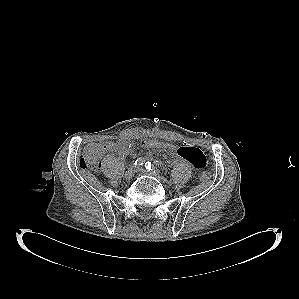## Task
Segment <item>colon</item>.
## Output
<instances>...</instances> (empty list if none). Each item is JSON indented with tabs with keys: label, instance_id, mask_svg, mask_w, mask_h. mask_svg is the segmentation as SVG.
Instances as JSON below:
<instances>
[{
	"label": "colon",
	"instance_id": "5ec220e1",
	"mask_svg": "<svg viewBox=\"0 0 299 299\" xmlns=\"http://www.w3.org/2000/svg\"><path fill=\"white\" fill-rule=\"evenodd\" d=\"M141 147V146H140ZM115 146L105 144H91L89 145L82 156L79 159V166L87 170H97L100 168V157L108 150L113 151ZM210 179V175L207 172L200 174V180L207 182Z\"/></svg>",
	"mask_w": 299,
	"mask_h": 299
}]
</instances>
